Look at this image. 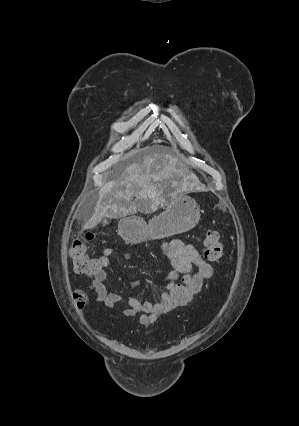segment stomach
<instances>
[{"instance_id":"obj_1","label":"stomach","mask_w":299,"mask_h":426,"mask_svg":"<svg viewBox=\"0 0 299 426\" xmlns=\"http://www.w3.org/2000/svg\"><path fill=\"white\" fill-rule=\"evenodd\" d=\"M200 220V209L194 199L186 195L173 197L164 212L147 223L140 217H127L120 222L122 236L129 242L156 240L187 232Z\"/></svg>"}]
</instances>
